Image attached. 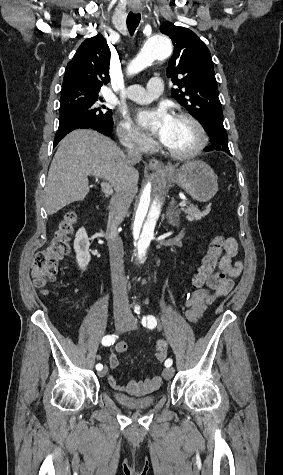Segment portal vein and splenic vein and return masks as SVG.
<instances>
[{"label": "portal vein and splenic vein", "instance_id": "portal-vein-and-splenic-vein-1", "mask_svg": "<svg viewBox=\"0 0 283 475\" xmlns=\"http://www.w3.org/2000/svg\"><path fill=\"white\" fill-rule=\"evenodd\" d=\"M102 192L106 194V196H110V194H113V190L109 184H101ZM179 206H186V202H180Z\"/></svg>", "mask_w": 283, "mask_h": 475}]
</instances>
